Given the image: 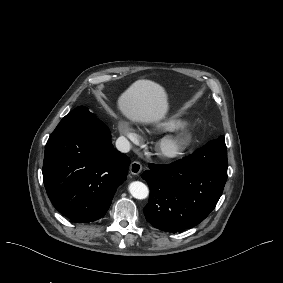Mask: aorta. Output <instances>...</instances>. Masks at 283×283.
<instances>
[{
  "instance_id": "1",
  "label": "aorta",
  "mask_w": 283,
  "mask_h": 283,
  "mask_svg": "<svg viewBox=\"0 0 283 283\" xmlns=\"http://www.w3.org/2000/svg\"><path fill=\"white\" fill-rule=\"evenodd\" d=\"M129 192L134 198L140 200L147 198L149 195L148 187L140 181L131 182L129 184Z\"/></svg>"
}]
</instances>
